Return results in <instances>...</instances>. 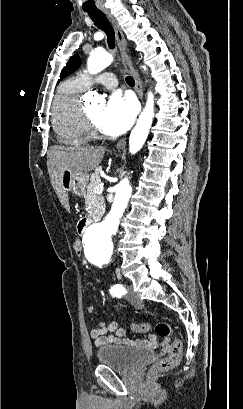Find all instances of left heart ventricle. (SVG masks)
<instances>
[{"label":"left heart ventricle","mask_w":243,"mask_h":409,"mask_svg":"<svg viewBox=\"0 0 243 409\" xmlns=\"http://www.w3.org/2000/svg\"><path fill=\"white\" fill-rule=\"evenodd\" d=\"M103 107L101 105L93 106L87 109L90 117L94 120L97 126H99V116Z\"/></svg>","instance_id":"obj_1"}]
</instances>
